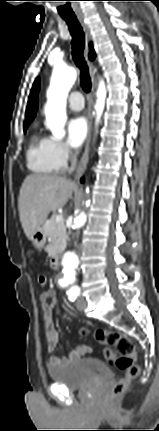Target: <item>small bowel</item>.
Segmentation results:
<instances>
[{"label":"small bowel","mask_w":159,"mask_h":431,"mask_svg":"<svg viewBox=\"0 0 159 431\" xmlns=\"http://www.w3.org/2000/svg\"><path fill=\"white\" fill-rule=\"evenodd\" d=\"M39 283L42 287H44L43 291L40 294V302H41V308L43 312L45 339L47 343V349L50 354L47 364L49 367L65 366L80 359L82 356L89 353L91 351V348L86 344H82L75 347L66 356L57 357L53 355V352L57 349L59 345V333L55 328L53 315L51 311L52 306L56 303V301L53 304H50L48 302V287H47L48 279H47L46 273L40 274Z\"/></svg>","instance_id":"1"}]
</instances>
